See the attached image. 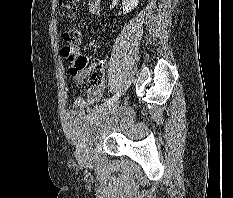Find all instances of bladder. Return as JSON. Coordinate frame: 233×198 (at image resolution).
<instances>
[{
	"label": "bladder",
	"mask_w": 233,
	"mask_h": 198,
	"mask_svg": "<svg viewBox=\"0 0 233 198\" xmlns=\"http://www.w3.org/2000/svg\"><path fill=\"white\" fill-rule=\"evenodd\" d=\"M127 120L106 108H97L88 114L70 113L66 121V130L75 146L81 151L92 149L104 135L121 128Z\"/></svg>",
	"instance_id": "obj_1"
}]
</instances>
